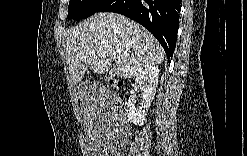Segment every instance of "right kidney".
Masks as SVG:
<instances>
[{"label": "right kidney", "instance_id": "ca27d5eb", "mask_svg": "<svg viewBox=\"0 0 247 156\" xmlns=\"http://www.w3.org/2000/svg\"><path fill=\"white\" fill-rule=\"evenodd\" d=\"M159 79V69L156 65H149L144 67L135 79L133 85L134 89L131 90V95L127 103V115L129 120L135 125H143L145 117L148 113V109L154 99L156 88ZM141 89L142 104L136 106V95L135 91Z\"/></svg>", "mask_w": 247, "mask_h": 156}]
</instances>
